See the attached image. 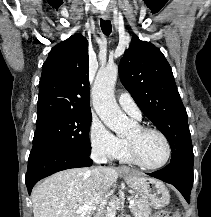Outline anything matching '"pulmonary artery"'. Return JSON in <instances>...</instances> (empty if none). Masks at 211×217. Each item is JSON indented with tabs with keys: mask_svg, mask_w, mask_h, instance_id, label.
<instances>
[{
	"mask_svg": "<svg viewBox=\"0 0 211 217\" xmlns=\"http://www.w3.org/2000/svg\"><path fill=\"white\" fill-rule=\"evenodd\" d=\"M118 103L123 111H125L131 117L141 120L142 114L138 105L133 100L132 96L128 92H122L118 97Z\"/></svg>",
	"mask_w": 211,
	"mask_h": 217,
	"instance_id": "obj_1",
	"label": "pulmonary artery"
}]
</instances>
